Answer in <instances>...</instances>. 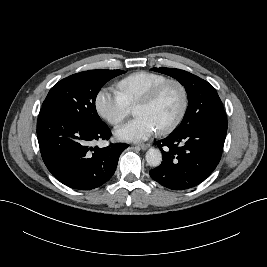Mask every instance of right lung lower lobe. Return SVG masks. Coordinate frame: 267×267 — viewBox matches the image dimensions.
Masks as SVG:
<instances>
[{
  "mask_svg": "<svg viewBox=\"0 0 267 267\" xmlns=\"http://www.w3.org/2000/svg\"><path fill=\"white\" fill-rule=\"evenodd\" d=\"M110 136L107 125L87 127L48 108L40 110L37 120V137L46 167L61 183L77 190L97 188L114 174L128 144L90 147L92 142L108 140Z\"/></svg>",
  "mask_w": 267,
  "mask_h": 267,
  "instance_id": "98d812e1",
  "label": "right lung lower lobe"
}]
</instances>
